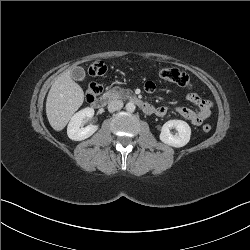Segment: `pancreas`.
Masks as SVG:
<instances>
[{
	"label": "pancreas",
	"mask_w": 250,
	"mask_h": 250,
	"mask_svg": "<svg viewBox=\"0 0 250 250\" xmlns=\"http://www.w3.org/2000/svg\"><path fill=\"white\" fill-rule=\"evenodd\" d=\"M131 92L129 90L126 89H122L119 87H114L111 90H109L108 94L112 97V98H123L125 97L127 94H130Z\"/></svg>",
	"instance_id": "cf45deb5"
}]
</instances>
